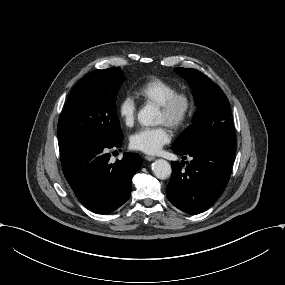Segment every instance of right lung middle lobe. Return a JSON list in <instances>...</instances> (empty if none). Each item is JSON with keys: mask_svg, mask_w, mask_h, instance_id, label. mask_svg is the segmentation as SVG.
I'll list each match as a JSON object with an SVG mask.
<instances>
[{"mask_svg": "<svg viewBox=\"0 0 285 285\" xmlns=\"http://www.w3.org/2000/svg\"><path fill=\"white\" fill-rule=\"evenodd\" d=\"M124 80L120 67L95 70L80 79L59 118V146L123 139L116 112V96Z\"/></svg>", "mask_w": 285, "mask_h": 285, "instance_id": "dd1d6c3e", "label": "right lung middle lobe"}]
</instances>
